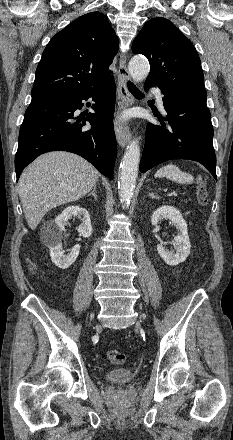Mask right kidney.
Wrapping results in <instances>:
<instances>
[{
	"label": "right kidney",
	"mask_w": 233,
	"mask_h": 440,
	"mask_svg": "<svg viewBox=\"0 0 233 440\" xmlns=\"http://www.w3.org/2000/svg\"><path fill=\"white\" fill-rule=\"evenodd\" d=\"M73 217L81 220L78 227L80 236L88 238L92 234V225L89 212L79 206H69L59 214L54 221L47 222L43 227V241L50 249L52 262L61 269H67L77 259L80 252V245L76 244L70 253L62 251V232L68 221Z\"/></svg>",
	"instance_id": "1"
}]
</instances>
